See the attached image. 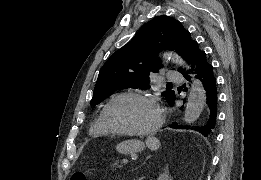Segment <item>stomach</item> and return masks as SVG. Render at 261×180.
<instances>
[{
	"label": "stomach",
	"mask_w": 261,
	"mask_h": 180,
	"mask_svg": "<svg viewBox=\"0 0 261 180\" xmlns=\"http://www.w3.org/2000/svg\"><path fill=\"white\" fill-rule=\"evenodd\" d=\"M144 144L138 140H126L119 143L116 147L117 151L121 154H133L141 151Z\"/></svg>",
	"instance_id": "0dacf381"
}]
</instances>
